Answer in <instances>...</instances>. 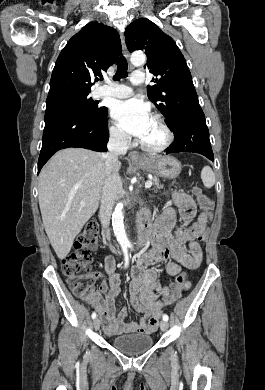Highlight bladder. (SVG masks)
I'll return each mask as SVG.
<instances>
[{
    "instance_id": "bladder-1",
    "label": "bladder",
    "mask_w": 265,
    "mask_h": 390,
    "mask_svg": "<svg viewBox=\"0 0 265 390\" xmlns=\"http://www.w3.org/2000/svg\"><path fill=\"white\" fill-rule=\"evenodd\" d=\"M113 347L130 356H136L148 351L153 344V337L147 334L121 335L112 338Z\"/></svg>"
}]
</instances>
